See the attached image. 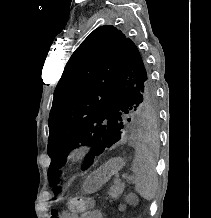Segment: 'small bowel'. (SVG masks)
Masks as SVG:
<instances>
[{
	"label": "small bowel",
	"mask_w": 211,
	"mask_h": 218,
	"mask_svg": "<svg viewBox=\"0 0 211 218\" xmlns=\"http://www.w3.org/2000/svg\"><path fill=\"white\" fill-rule=\"evenodd\" d=\"M80 218H103V215L96 209H90L85 211Z\"/></svg>",
	"instance_id": "small-bowel-1"
}]
</instances>
